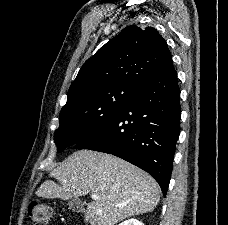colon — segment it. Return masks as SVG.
<instances>
[{
  "label": "colon",
  "instance_id": "obj_1",
  "mask_svg": "<svg viewBox=\"0 0 228 225\" xmlns=\"http://www.w3.org/2000/svg\"><path fill=\"white\" fill-rule=\"evenodd\" d=\"M26 212L33 225L50 224V207L46 203L38 200H32L29 203Z\"/></svg>",
  "mask_w": 228,
  "mask_h": 225
}]
</instances>
